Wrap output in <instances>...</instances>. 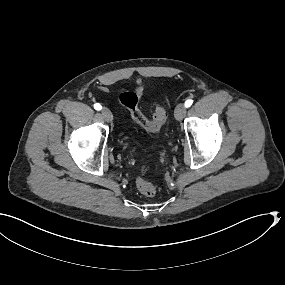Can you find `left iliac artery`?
<instances>
[{"label": "left iliac artery", "instance_id": "left-iliac-artery-1", "mask_svg": "<svg viewBox=\"0 0 285 285\" xmlns=\"http://www.w3.org/2000/svg\"><path fill=\"white\" fill-rule=\"evenodd\" d=\"M192 103H193V100H191V99L186 100L185 107L186 108L190 107L192 105Z\"/></svg>", "mask_w": 285, "mask_h": 285}]
</instances>
